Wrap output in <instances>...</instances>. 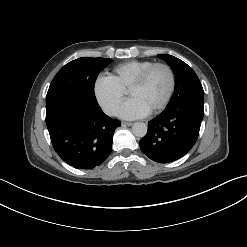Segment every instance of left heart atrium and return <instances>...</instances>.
Segmentation results:
<instances>
[{"mask_svg":"<svg viewBox=\"0 0 247 247\" xmlns=\"http://www.w3.org/2000/svg\"><path fill=\"white\" fill-rule=\"evenodd\" d=\"M149 111L137 100L130 99L117 111L118 116L125 119H135L147 115Z\"/></svg>","mask_w":247,"mask_h":247,"instance_id":"left-heart-atrium-1","label":"left heart atrium"}]
</instances>
